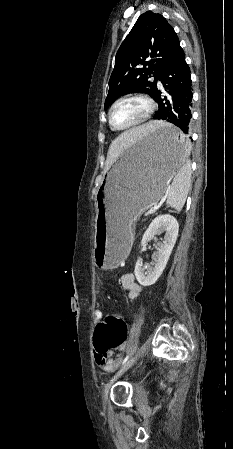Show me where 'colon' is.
Listing matches in <instances>:
<instances>
[{"mask_svg": "<svg viewBox=\"0 0 233 449\" xmlns=\"http://www.w3.org/2000/svg\"><path fill=\"white\" fill-rule=\"evenodd\" d=\"M127 336V324L122 317L116 313L109 314L97 325L93 335L95 352L102 355L108 354L121 347L126 342Z\"/></svg>", "mask_w": 233, "mask_h": 449, "instance_id": "obj_1", "label": "colon"}]
</instances>
